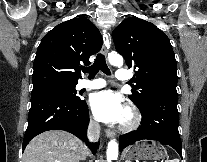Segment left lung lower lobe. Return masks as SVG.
I'll return each instance as SVG.
<instances>
[{
  "mask_svg": "<svg viewBox=\"0 0 207 162\" xmlns=\"http://www.w3.org/2000/svg\"><path fill=\"white\" fill-rule=\"evenodd\" d=\"M178 98L157 96L149 99L143 108L141 126L120 136V151L139 140H155L174 148L182 157V145L178 132Z\"/></svg>",
  "mask_w": 207,
  "mask_h": 162,
  "instance_id": "left-lung-lower-lobe-1",
  "label": "left lung lower lobe"
}]
</instances>
